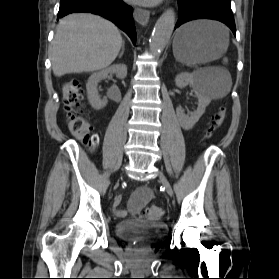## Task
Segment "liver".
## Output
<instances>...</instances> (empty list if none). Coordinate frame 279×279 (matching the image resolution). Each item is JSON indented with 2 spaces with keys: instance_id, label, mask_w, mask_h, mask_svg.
Listing matches in <instances>:
<instances>
[{
  "instance_id": "6515ba94",
  "label": "liver",
  "mask_w": 279,
  "mask_h": 279,
  "mask_svg": "<svg viewBox=\"0 0 279 279\" xmlns=\"http://www.w3.org/2000/svg\"><path fill=\"white\" fill-rule=\"evenodd\" d=\"M123 41L117 27L92 14H72L61 19L52 43L53 73L93 72L109 66Z\"/></svg>"
}]
</instances>
